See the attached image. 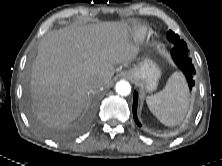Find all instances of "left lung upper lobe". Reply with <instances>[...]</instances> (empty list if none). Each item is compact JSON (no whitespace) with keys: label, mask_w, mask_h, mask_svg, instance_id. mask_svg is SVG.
<instances>
[{"label":"left lung upper lobe","mask_w":222,"mask_h":166,"mask_svg":"<svg viewBox=\"0 0 222 166\" xmlns=\"http://www.w3.org/2000/svg\"><path fill=\"white\" fill-rule=\"evenodd\" d=\"M167 39L174 45L187 46V44L182 39H180L179 36L173 31H168Z\"/></svg>","instance_id":"1"}]
</instances>
